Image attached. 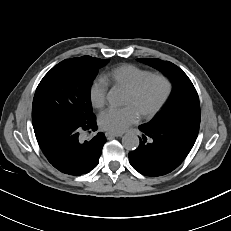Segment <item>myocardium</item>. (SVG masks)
I'll use <instances>...</instances> for the list:
<instances>
[{
	"label": "myocardium",
	"instance_id": "myocardium-1",
	"mask_svg": "<svg viewBox=\"0 0 231 231\" xmlns=\"http://www.w3.org/2000/svg\"><path fill=\"white\" fill-rule=\"evenodd\" d=\"M155 78L162 79L165 82L166 91L162 99L158 102V104L155 107L140 115V117L144 120L150 119L153 116H155L169 100L173 91V83L171 79L163 73H151L146 77L142 78L140 81H138L133 87L128 89V93H130L131 95H136L142 90V88L146 85L148 81Z\"/></svg>",
	"mask_w": 231,
	"mask_h": 231
}]
</instances>
